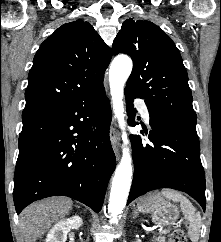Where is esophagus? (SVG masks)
Segmentation results:
<instances>
[{
  "instance_id": "1",
  "label": "esophagus",
  "mask_w": 221,
  "mask_h": 242,
  "mask_svg": "<svg viewBox=\"0 0 221 242\" xmlns=\"http://www.w3.org/2000/svg\"><path fill=\"white\" fill-rule=\"evenodd\" d=\"M110 141L114 150V153L116 155L117 160L120 158V152H119V135L117 132L116 124L114 120L112 121V125L110 128Z\"/></svg>"
}]
</instances>
